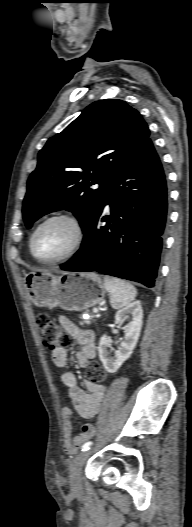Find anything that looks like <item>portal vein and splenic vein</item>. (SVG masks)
Masks as SVG:
<instances>
[{"mask_svg": "<svg viewBox=\"0 0 192 527\" xmlns=\"http://www.w3.org/2000/svg\"><path fill=\"white\" fill-rule=\"evenodd\" d=\"M93 312H94V313H98V309L94 308V309H93Z\"/></svg>", "mask_w": 192, "mask_h": 527, "instance_id": "obj_1", "label": "portal vein and splenic vein"}]
</instances>
